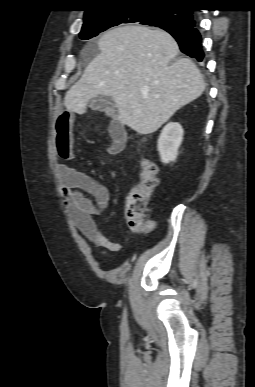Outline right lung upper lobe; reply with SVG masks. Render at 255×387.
Segmentation results:
<instances>
[{"label": "right lung upper lobe", "mask_w": 255, "mask_h": 387, "mask_svg": "<svg viewBox=\"0 0 255 387\" xmlns=\"http://www.w3.org/2000/svg\"><path fill=\"white\" fill-rule=\"evenodd\" d=\"M88 9L85 10L84 17L89 15L109 10L112 8H120V7H134V6H142V7H157L166 5L169 7H186L190 4L191 0H88ZM183 9H181L182 12ZM187 19V24L190 25L192 23L191 19L188 16H185ZM169 27V26H163Z\"/></svg>", "instance_id": "1"}]
</instances>
